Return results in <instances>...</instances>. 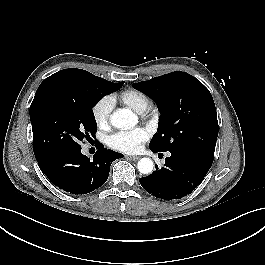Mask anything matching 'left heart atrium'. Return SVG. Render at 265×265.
<instances>
[{"mask_svg": "<svg viewBox=\"0 0 265 265\" xmlns=\"http://www.w3.org/2000/svg\"><path fill=\"white\" fill-rule=\"evenodd\" d=\"M148 137L149 133L145 128L136 127L113 133L108 137L107 143L118 151L135 153L141 149L142 144L147 141Z\"/></svg>", "mask_w": 265, "mask_h": 265, "instance_id": "39dd6f15", "label": "left heart atrium"}]
</instances>
